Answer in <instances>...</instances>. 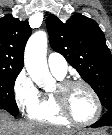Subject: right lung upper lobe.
Masks as SVG:
<instances>
[{
  "label": "right lung upper lobe",
  "instance_id": "right-lung-upper-lobe-1",
  "mask_svg": "<svg viewBox=\"0 0 112 135\" xmlns=\"http://www.w3.org/2000/svg\"><path fill=\"white\" fill-rule=\"evenodd\" d=\"M31 28L28 21H20L7 14L0 18V71H21L24 49Z\"/></svg>",
  "mask_w": 112,
  "mask_h": 135
}]
</instances>
